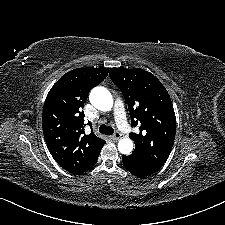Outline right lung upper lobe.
I'll list each match as a JSON object with an SVG mask.
<instances>
[{
  "label": "right lung upper lobe",
  "instance_id": "1",
  "mask_svg": "<svg viewBox=\"0 0 225 225\" xmlns=\"http://www.w3.org/2000/svg\"><path fill=\"white\" fill-rule=\"evenodd\" d=\"M108 72L109 69L94 67L69 71L46 97L42 114L46 144L56 162L72 174L80 175L91 169L106 143L93 132L85 135L82 109L89 91Z\"/></svg>",
  "mask_w": 225,
  "mask_h": 225
}]
</instances>
